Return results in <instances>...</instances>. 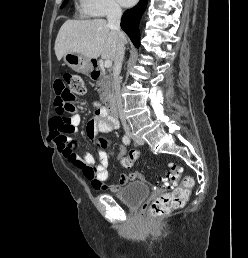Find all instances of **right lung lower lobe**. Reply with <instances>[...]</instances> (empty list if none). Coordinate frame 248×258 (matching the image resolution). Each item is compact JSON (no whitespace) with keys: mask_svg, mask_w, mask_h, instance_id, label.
Returning a JSON list of instances; mask_svg holds the SVG:
<instances>
[{"mask_svg":"<svg viewBox=\"0 0 248 258\" xmlns=\"http://www.w3.org/2000/svg\"><path fill=\"white\" fill-rule=\"evenodd\" d=\"M147 3L148 0H140L135 7L125 11L121 19V28L127 33L136 47L140 45L137 25Z\"/></svg>","mask_w":248,"mask_h":258,"instance_id":"right-lung-lower-lobe-1","label":"right lung lower lobe"}]
</instances>
